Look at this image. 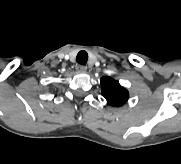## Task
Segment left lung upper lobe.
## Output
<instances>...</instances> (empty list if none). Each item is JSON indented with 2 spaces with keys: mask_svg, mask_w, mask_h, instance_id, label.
I'll return each mask as SVG.
<instances>
[{
  "mask_svg": "<svg viewBox=\"0 0 181 164\" xmlns=\"http://www.w3.org/2000/svg\"><path fill=\"white\" fill-rule=\"evenodd\" d=\"M101 93L109 105L119 107L126 103L129 92L118 81L110 77L101 78Z\"/></svg>",
  "mask_w": 181,
  "mask_h": 164,
  "instance_id": "1",
  "label": "left lung upper lobe"
}]
</instances>
